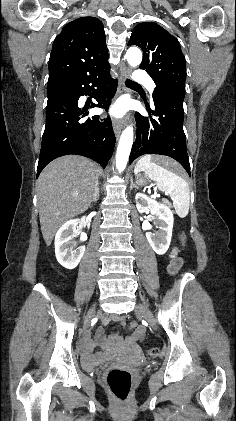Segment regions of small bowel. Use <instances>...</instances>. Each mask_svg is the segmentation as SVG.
Wrapping results in <instances>:
<instances>
[{"instance_id": "c3829d8e", "label": "small bowel", "mask_w": 236, "mask_h": 421, "mask_svg": "<svg viewBox=\"0 0 236 421\" xmlns=\"http://www.w3.org/2000/svg\"><path fill=\"white\" fill-rule=\"evenodd\" d=\"M131 326H132L133 328H135V333H136V335H141V334H142V330H141L140 328H138V327L136 326V324L132 323V324H131Z\"/></svg>"}]
</instances>
